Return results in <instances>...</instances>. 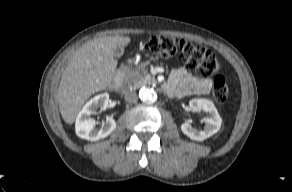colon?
<instances>
[{
	"instance_id": "colon-1",
	"label": "colon",
	"mask_w": 292,
	"mask_h": 192,
	"mask_svg": "<svg viewBox=\"0 0 292 192\" xmlns=\"http://www.w3.org/2000/svg\"><path fill=\"white\" fill-rule=\"evenodd\" d=\"M145 47L163 58L179 54L180 58L191 70L201 77H208L221 69V62L211 50L203 45L195 44L182 38L167 35L150 37ZM230 93V87L223 76H216L213 80L212 95L216 102L224 103Z\"/></svg>"
}]
</instances>
